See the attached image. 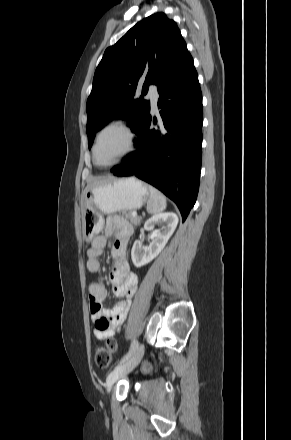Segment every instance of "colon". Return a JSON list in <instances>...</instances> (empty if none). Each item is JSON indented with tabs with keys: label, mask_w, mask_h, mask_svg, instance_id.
Returning a JSON list of instances; mask_svg holds the SVG:
<instances>
[{
	"label": "colon",
	"mask_w": 291,
	"mask_h": 440,
	"mask_svg": "<svg viewBox=\"0 0 291 440\" xmlns=\"http://www.w3.org/2000/svg\"><path fill=\"white\" fill-rule=\"evenodd\" d=\"M103 323L108 324L107 320H103ZM118 344L116 340L110 339L108 341V349L99 347L95 352V362L100 368H106L111 363V353L116 352Z\"/></svg>",
	"instance_id": "obj_1"
}]
</instances>
